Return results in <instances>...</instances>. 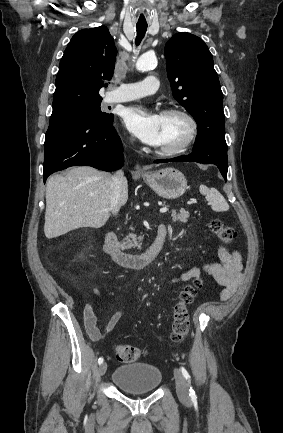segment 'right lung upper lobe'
I'll use <instances>...</instances> for the list:
<instances>
[{
  "label": "right lung upper lobe",
  "mask_w": 283,
  "mask_h": 433,
  "mask_svg": "<svg viewBox=\"0 0 283 433\" xmlns=\"http://www.w3.org/2000/svg\"><path fill=\"white\" fill-rule=\"evenodd\" d=\"M116 55L106 26L78 31L60 61L52 113L102 101L99 90L112 78Z\"/></svg>",
  "instance_id": "cb5924a9"
}]
</instances>
